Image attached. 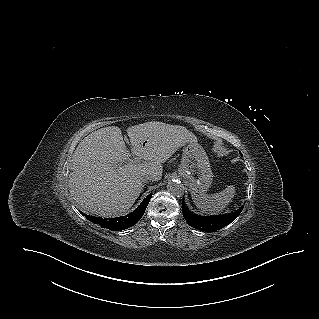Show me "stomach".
<instances>
[{"instance_id":"1","label":"stomach","mask_w":319,"mask_h":319,"mask_svg":"<svg viewBox=\"0 0 319 319\" xmlns=\"http://www.w3.org/2000/svg\"><path fill=\"white\" fill-rule=\"evenodd\" d=\"M180 176L189 183L192 194L202 195L211 186L213 175L206 152L197 142H188L183 150Z\"/></svg>"}]
</instances>
